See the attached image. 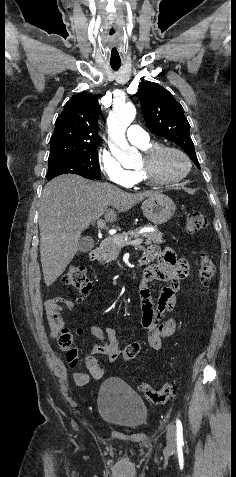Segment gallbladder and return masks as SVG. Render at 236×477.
I'll use <instances>...</instances> for the list:
<instances>
[{
	"mask_svg": "<svg viewBox=\"0 0 236 477\" xmlns=\"http://www.w3.org/2000/svg\"><path fill=\"white\" fill-rule=\"evenodd\" d=\"M94 246V241L90 236L83 237L79 241L78 249L80 252H88Z\"/></svg>",
	"mask_w": 236,
	"mask_h": 477,
	"instance_id": "1",
	"label": "gallbladder"
}]
</instances>
